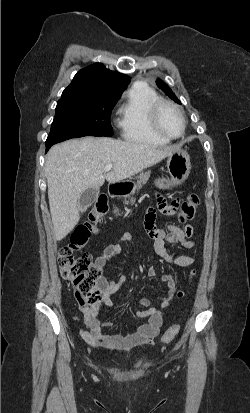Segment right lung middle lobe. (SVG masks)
Here are the masks:
<instances>
[{
    "label": "right lung middle lobe",
    "instance_id": "right-lung-middle-lobe-1",
    "mask_svg": "<svg viewBox=\"0 0 250 413\" xmlns=\"http://www.w3.org/2000/svg\"><path fill=\"white\" fill-rule=\"evenodd\" d=\"M119 98L118 94L65 89L57 103L46 145L77 136H112L110 114Z\"/></svg>",
    "mask_w": 250,
    "mask_h": 413
}]
</instances>
